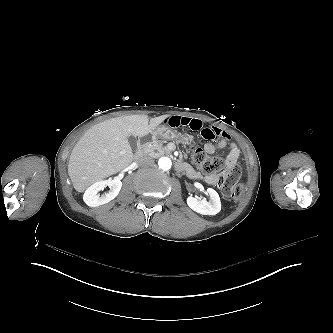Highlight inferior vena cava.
Here are the masks:
<instances>
[{
  "mask_svg": "<svg viewBox=\"0 0 333 333\" xmlns=\"http://www.w3.org/2000/svg\"><path fill=\"white\" fill-rule=\"evenodd\" d=\"M140 166H153L154 165V159L149 156H143L140 159H138L137 162Z\"/></svg>",
  "mask_w": 333,
  "mask_h": 333,
  "instance_id": "602c4592",
  "label": "inferior vena cava"
}]
</instances>
